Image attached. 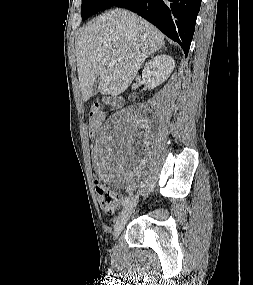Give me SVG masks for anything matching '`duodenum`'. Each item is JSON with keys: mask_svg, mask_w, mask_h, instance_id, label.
I'll use <instances>...</instances> for the list:
<instances>
[{"mask_svg": "<svg viewBox=\"0 0 253 285\" xmlns=\"http://www.w3.org/2000/svg\"><path fill=\"white\" fill-rule=\"evenodd\" d=\"M106 102L113 108H120L123 105V99L120 97H107Z\"/></svg>", "mask_w": 253, "mask_h": 285, "instance_id": "duodenum-1", "label": "duodenum"}]
</instances>
